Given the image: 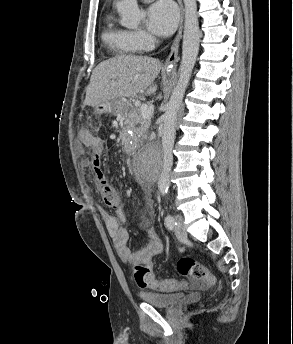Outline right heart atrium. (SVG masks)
I'll return each mask as SVG.
<instances>
[{
	"mask_svg": "<svg viewBox=\"0 0 293 344\" xmlns=\"http://www.w3.org/2000/svg\"><path fill=\"white\" fill-rule=\"evenodd\" d=\"M131 39L139 50H148L154 47V37L142 29L130 31Z\"/></svg>",
	"mask_w": 293,
	"mask_h": 344,
	"instance_id": "obj_1",
	"label": "right heart atrium"
}]
</instances>
